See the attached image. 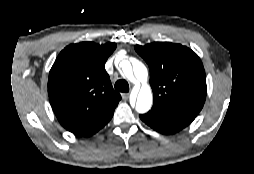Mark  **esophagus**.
<instances>
[{"label": "esophagus", "mask_w": 254, "mask_h": 174, "mask_svg": "<svg viewBox=\"0 0 254 174\" xmlns=\"http://www.w3.org/2000/svg\"><path fill=\"white\" fill-rule=\"evenodd\" d=\"M121 96H122V99H123V100H128V98H129V93H122Z\"/></svg>", "instance_id": "1"}]
</instances>
